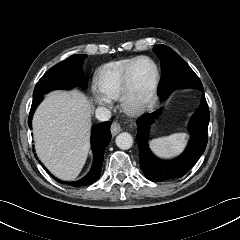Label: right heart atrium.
<instances>
[{"instance_id":"d8ad5b80","label":"right heart atrium","mask_w":240,"mask_h":240,"mask_svg":"<svg viewBox=\"0 0 240 240\" xmlns=\"http://www.w3.org/2000/svg\"><path fill=\"white\" fill-rule=\"evenodd\" d=\"M94 98L97 104L102 105V106H107L110 104V98H108L107 96H105L104 94L95 91L94 92Z\"/></svg>"}]
</instances>
